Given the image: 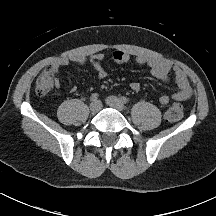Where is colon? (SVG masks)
I'll return each instance as SVG.
<instances>
[{"mask_svg": "<svg viewBox=\"0 0 216 216\" xmlns=\"http://www.w3.org/2000/svg\"><path fill=\"white\" fill-rule=\"evenodd\" d=\"M54 84V75L51 71L45 70L37 79L35 83V92L38 95L48 94ZM183 116V104L176 100L170 104L166 111V118L168 121L175 122Z\"/></svg>", "mask_w": 216, "mask_h": 216, "instance_id": "1", "label": "colon"}]
</instances>
